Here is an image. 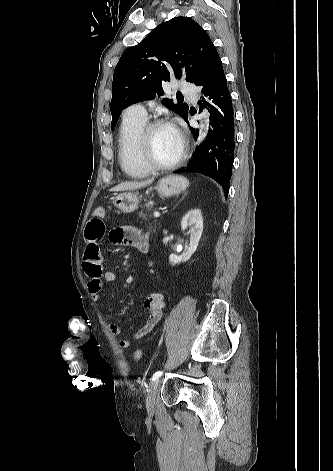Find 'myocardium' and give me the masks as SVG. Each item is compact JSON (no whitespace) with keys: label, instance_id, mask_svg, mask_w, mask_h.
I'll use <instances>...</instances> for the list:
<instances>
[{"label":"myocardium","instance_id":"f54148a6","mask_svg":"<svg viewBox=\"0 0 333 471\" xmlns=\"http://www.w3.org/2000/svg\"><path fill=\"white\" fill-rule=\"evenodd\" d=\"M162 126H171L174 129H176L174 124H172L169 121L162 120V119L154 120V121L146 123V125L144 126V128L142 129L140 133L139 140H138L140 156L142 160L144 161V163L148 165L153 171L172 170L178 167L184 161L187 155V143L183 138H181V141H182L181 149L177 157L172 162L161 163L154 158L151 151V135L156 129Z\"/></svg>","mask_w":333,"mask_h":471}]
</instances>
